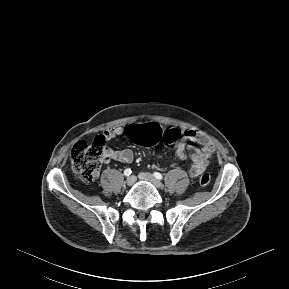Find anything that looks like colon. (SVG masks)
I'll return each mask as SVG.
<instances>
[{
    "mask_svg": "<svg viewBox=\"0 0 289 289\" xmlns=\"http://www.w3.org/2000/svg\"><path fill=\"white\" fill-rule=\"evenodd\" d=\"M126 132L133 142L142 146H153L160 142L173 144L179 142L184 135L178 129L165 131L157 123H149L142 127L130 125L126 128ZM104 150V140L101 136L91 144L79 141L74 145L70 159L72 168L81 181L88 183L96 178ZM210 179V175L204 173L200 176L199 183L201 186H207Z\"/></svg>",
    "mask_w": 289,
    "mask_h": 289,
    "instance_id": "1",
    "label": "colon"
}]
</instances>
